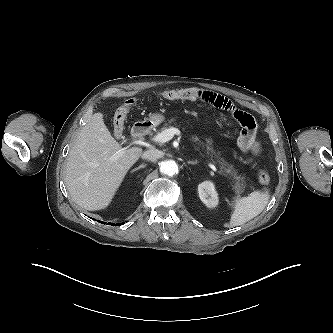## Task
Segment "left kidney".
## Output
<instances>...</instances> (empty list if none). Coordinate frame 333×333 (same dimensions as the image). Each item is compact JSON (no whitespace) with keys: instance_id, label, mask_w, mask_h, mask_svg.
Here are the masks:
<instances>
[{"instance_id":"5707ae66","label":"left kidney","mask_w":333,"mask_h":333,"mask_svg":"<svg viewBox=\"0 0 333 333\" xmlns=\"http://www.w3.org/2000/svg\"><path fill=\"white\" fill-rule=\"evenodd\" d=\"M198 193L201 201L208 208H214L218 205V194L212 182L204 181L201 184H199Z\"/></svg>"}]
</instances>
